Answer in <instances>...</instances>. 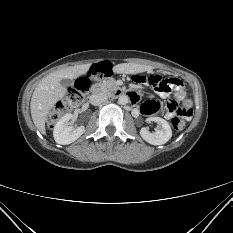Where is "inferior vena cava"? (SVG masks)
I'll return each instance as SVG.
<instances>
[{
  "label": "inferior vena cava",
  "instance_id": "obj_1",
  "mask_svg": "<svg viewBox=\"0 0 233 233\" xmlns=\"http://www.w3.org/2000/svg\"><path fill=\"white\" fill-rule=\"evenodd\" d=\"M108 99V95L106 93H97L92 94L89 98L90 103L94 106L100 105Z\"/></svg>",
  "mask_w": 233,
  "mask_h": 233
}]
</instances>
